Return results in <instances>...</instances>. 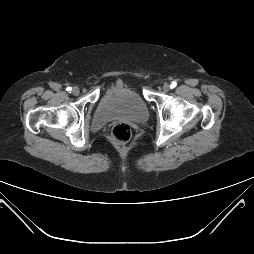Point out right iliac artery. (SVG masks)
Returning a JSON list of instances; mask_svg holds the SVG:
<instances>
[{"label":"right iliac artery","instance_id":"82829eb1","mask_svg":"<svg viewBox=\"0 0 254 254\" xmlns=\"http://www.w3.org/2000/svg\"><path fill=\"white\" fill-rule=\"evenodd\" d=\"M68 92H71L72 91V88L71 87H67L66 89Z\"/></svg>","mask_w":254,"mask_h":254}]
</instances>
